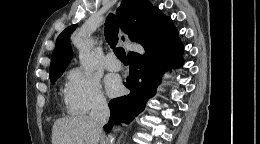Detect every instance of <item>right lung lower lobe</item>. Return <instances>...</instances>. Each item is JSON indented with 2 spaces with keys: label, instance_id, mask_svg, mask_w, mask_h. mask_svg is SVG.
<instances>
[{
  "label": "right lung lower lobe",
  "instance_id": "98d812e1",
  "mask_svg": "<svg viewBox=\"0 0 260 144\" xmlns=\"http://www.w3.org/2000/svg\"><path fill=\"white\" fill-rule=\"evenodd\" d=\"M182 54L183 45L178 35L145 50L143 55L137 52L129 53L130 75L124 85L131 92L109 102L111 114L104 130L110 132L116 123L131 122L143 111L148 99L155 95L163 72L170 67L178 68L183 64Z\"/></svg>",
  "mask_w": 260,
  "mask_h": 144
}]
</instances>
